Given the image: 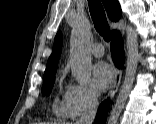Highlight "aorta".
I'll list each match as a JSON object with an SVG mask.
<instances>
[{
    "instance_id": "762f6f07",
    "label": "aorta",
    "mask_w": 156,
    "mask_h": 124,
    "mask_svg": "<svg viewBox=\"0 0 156 124\" xmlns=\"http://www.w3.org/2000/svg\"><path fill=\"white\" fill-rule=\"evenodd\" d=\"M126 43H127V61L125 77L112 107L108 124H118L119 116L126 105L129 92L131 91L139 60L138 37L136 31L127 25ZM91 24L87 19H79L75 23L70 39V63L72 75L79 84H87L91 79Z\"/></svg>"
}]
</instances>
